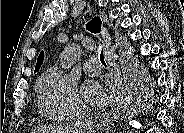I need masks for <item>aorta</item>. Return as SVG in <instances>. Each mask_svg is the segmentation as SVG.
<instances>
[{
    "instance_id": "aorta-1",
    "label": "aorta",
    "mask_w": 184,
    "mask_h": 133,
    "mask_svg": "<svg viewBox=\"0 0 184 133\" xmlns=\"http://www.w3.org/2000/svg\"><path fill=\"white\" fill-rule=\"evenodd\" d=\"M79 54V48L76 45H68L60 55V66L62 69L69 70L75 63Z\"/></svg>"
}]
</instances>
